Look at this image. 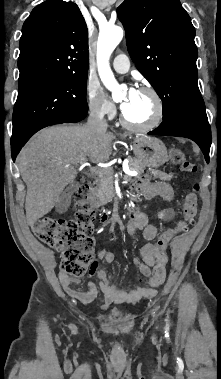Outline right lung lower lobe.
I'll return each mask as SVG.
<instances>
[{
	"label": "right lung lower lobe",
	"instance_id": "98d812e1",
	"mask_svg": "<svg viewBox=\"0 0 221 379\" xmlns=\"http://www.w3.org/2000/svg\"><path fill=\"white\" fill-rule=\"evenodd\" d=\"M86 115H87V112L82 114V115H79V116L66 118V119L60 121V123H76V122H79L82 119H84L86 117ZM27 141H28V139L24 140V141L17 142V143H11V155H12L13 161H15L17 154L19 153V151L21 150V148L24 146V144Z\"/></svg>",
	"mask_w": 221,
	"mask_h": 379
}]
</instances>
